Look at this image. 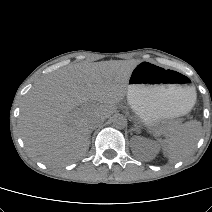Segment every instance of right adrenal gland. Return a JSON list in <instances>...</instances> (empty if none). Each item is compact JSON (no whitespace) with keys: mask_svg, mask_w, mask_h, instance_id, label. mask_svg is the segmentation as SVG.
I'll use <instances>...</instances> for the list:
<instances>
[{"mask_svg":"<svg viewBox=\"0 0 212 212\" xmlns=\"http://www.w3.org/2000/svg\"><path fill=\"white\" fill-rule=\"evenodd\" d=\"M92 131H93V130H90V131H89V134H91V133H92Z\"/></svg>","mask_w":212,"mask_h":212,"instance_id":"obj_1","label":"right adrenal gland"}]
</instances>
